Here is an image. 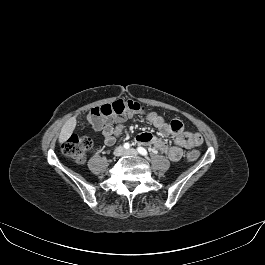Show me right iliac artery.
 <instances>
[{"mask_svg": "<svg viewBox=\"0 0 265 265\" xmlns=\"http://www.w3.org/2000/svg\"><path fill=\"white\" fill-rule=\"evenodd\" d=\"M124 148H125V149H129V148H130V144H129V143H125V144H124Z\"/></svg>", "mask_w": 265, "mask_h": 265, "instance_id": "right-iliac-artery-1", "label": "right iliac artery"}]
</instances>
